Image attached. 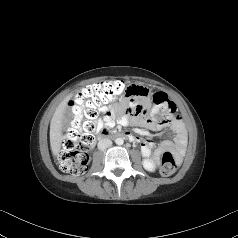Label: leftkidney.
I'll return each instance as SVG.
<instances>
[{"label": "left kidney", "instance_id": "left-kidney-1", "mask_svg": "<svg viewBox=\"0 0 238 238\" xmlns=\"http://www.w3.org/2000/svg\"><path fill=\"white\" fill-rule=\"evenodd\" d=\"M142 164L145 170L150 172L155 171V164L151 159H144Z\"/></svg>", "mask_w": 238, "mask_h": 238}]
</instances>
